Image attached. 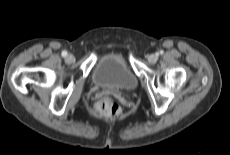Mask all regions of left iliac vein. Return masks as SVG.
Returning <instances> with one entry per match:
<instances>
[{"instance_id": "4c4485c4", "label": "left iliac vein", "mask_w": 230, "mask_h": 155, "mask_svg": "<svg viewBox=\"0 0 230 155\" xmlns=\"http://www.w3.org/2000/svg\"><path fill=\"white\" fill-rule=\"evenodd\" d=\"M147 59L150 63H155L158 59V56L156 54H150Z\"/></svg>"}]
</instances>
